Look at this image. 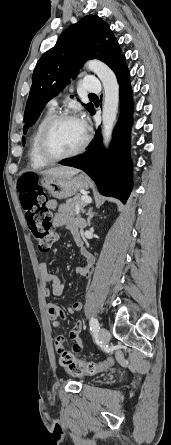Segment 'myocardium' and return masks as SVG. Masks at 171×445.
<instances>
[{
    "label": "myocardium",
    "mask_w": 171,
    "mask_h": 445,
    "mask_svg": "<svg viewBox=\"0 0 171 445\" xmlns=\"http://www.w3.org/2000/svg\"><path fill=\"white\" fill-rule=\"evenodd\" d=\"M66 120H74V121H79V122L83 123V121L78 116H76L74 114L61 113V114H57V115H54L53 117H51L45 123V125L43 126V128L40 132V135L38 138V145H37L38 153H39L40 157L48 163L58 162V161H62L64 159L75 157V156L81 154L89 144L90 134H89V131H88L86 125H84L85 136H84L82 143L80 144V146L78 148H76L75 150H73L69 153L62 154V155H53L47 150L46 141H47V137H48L50 131L52 130V128L55 125H57L58 123H60L62 121H66Z\"/></svg>",
    "instance_id": "f54148a6"
}]
</instances>
